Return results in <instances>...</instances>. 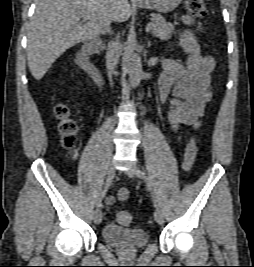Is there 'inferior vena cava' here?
Returning <instances> with one entry per match:
<instances>
[{
  "mask_svg": "<svg viewBox=\"0 0 254 267\" xmlns=\"http://www.w3.org/2000/svg\"><path fill=\"white\" fill-rule=\"evenodd\" d=\"M118 59V43L117 41H110L108 43L106 60H107V69L110 81L112 82V75L114 73V68L117 64Z\"/></svg>",
  "mask_w": 254,
  "mask_h": 267,
  "instance_id": "inferior-vena-cava-1",
  "label": "inferior vena cava"
}]
</instances>
